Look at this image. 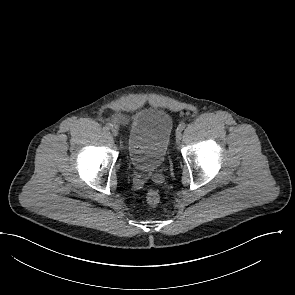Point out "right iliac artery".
Masks as SVG:
<instances>
[{
	"instance_id": "1",
	"label": "right iliac artery",
	"mask_w": 295,
	"mask_h": 295,
	"mask_svg": "<svg viewBox=\"0 0 295 295\" xmlns=\"http://www.w3.org/2000/svg\"><path fill=\"white\" fill-rule=\"evenodd\" d=\"M105 128L107 130L112 129L113 128V125L111 123H107L106 126H105Z\"/></svg>"
}]
</instances>
